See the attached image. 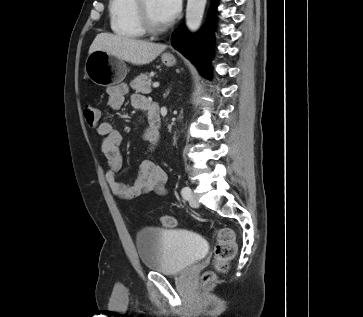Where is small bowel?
I'll list each match as a JSON object with an SVG mask.
<instances>
[{"instance_id": "small-bowel-1", "label": "small bowel", "mask_w": 363, "mask_h": 317, "mask_svg": "<svg viewBox=\"0 0 363 317\" xmlns=\"http://www.w3.org/2000/svg\"><path fill=\"white\" fill-rule=\"evenodd\" d=\"M127 87L124 84L113 86L108 90V105L110 108L120 109L125 100ZM148 100L141 94H132L131 104L134 108L146 112ZM97 133L102 136L100 150L104 155L109 169L106 180L112 192L121 199H133L151 192L159 195L167 193V177L165 172L151 159H145L139 167V175L133 184H126L118 179L123 157L120 150L123 135L114 128L109 121H102L96 128ZM144 137L148 139L145 131Z\"/></svg>"}]
</instances>
